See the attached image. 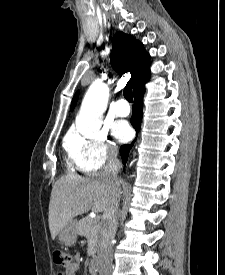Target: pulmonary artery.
Instances as JSON below:
<instances>
[{
	"instance_id": "e3ab8cb5",
	"label": "pulmonary artery",
	"mask_w": 225,
	"mask_h": 275,
	"mask_svg": "<svg viewBox=\"0 0 225 275\" xmlns=\"http://www.w3.org/2000/svg\"><path fill=\"white\" fill-rule=\"evenodd\" d=\"M113 112L118 117H126L130 113V108L125 100L120 99L116 102Z\"/></svg>"
}]
</instances>
